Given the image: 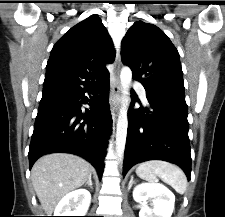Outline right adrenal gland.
Returning a JSON list of instances; mask_svg holds the SVG:
<instances>
[{
  "mask_svg": "<svg viewBox=\"0 0 225 217\" xmlns=\"http://www.w3.org/2000/svg\"><path fill=\"white\" fill-rule=\"evenodd\" d=\"M86 185H88V186H90V188H92L91 173H90V175H89L88 180H87L86 183H85V186H86Z\"/></svg>",
  "mask_w": 225,
  "mask_h": 217,
  "instance_id": "2a0ac1e0",
  "label": "right adrenal gland"
}]
</instances>
